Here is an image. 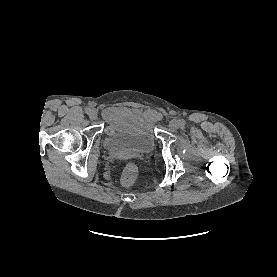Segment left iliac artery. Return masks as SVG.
Returning a JSON list of instances; mask_svg holds the SVG:
<instances>
[{"label": "left iliac artery", "mask_w": 277, "mask_h": 277, "mask_svg": "<svg viewBox=\"0 0 277 277\" xmlns=\"http://www.w3.org/2000/svg\"><path fill=\"white\" fill-rule=\"evenodd\" d=\"M180 123H181V126H185V121L184 120H181Z\"/></svg>", "instance_id": "1"}]
</instances>
